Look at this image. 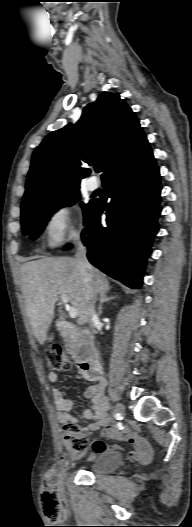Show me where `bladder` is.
<instances>
[{
  "mask_svg": "<svg viewBox=\"0 0 192 527\" xmlns=\"http://www.w3.org/2000/svg\"><path fill=\"white\" fill-rule=\"evenodd\" d=\"M123 464V456L117 451H101L94 453L89 459V471L95 475L115 471Z\"/></svg>",
  "mask_w": 192,
  "mask_h": 527,
  "instance_id": "1",
  "label": "bladder"
}]
</instances>
